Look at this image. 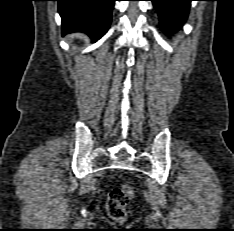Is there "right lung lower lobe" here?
<instances>
[{
  "label": "right lung lower lobe",
  "mask_w": 234,
  "mask_h": 231,
  "mask_svg": "<svg viewBox=\"0 0 234 231\" xmlns=\"http://www.w3.org/2000/svg\"><path fill=\"white\" fill-rule=\"evenodd\" d=\"M57 1L63 34L81 31L96 41L107 32L115 0Z\"/></svg>",
  "instance_id": "right-lung-lower-lobe-1"
}]
</instances>
